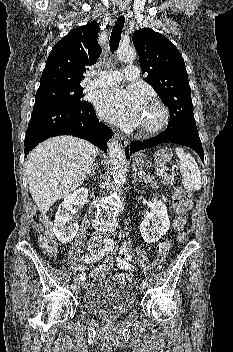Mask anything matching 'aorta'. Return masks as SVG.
Returning a JSON list of instances; mask_svg holds the SVG:
<instances>
[{
    "instance_id": "1",
    "label": "aorta",
    "mask_w": 233,
    "mask_h": 352,
    "mask_svg": "<svg viewBox=\"0 0 233 352\" xmlns=\"http://www.w3.org/2000/svg\"><path fill=\"white\" fill-rule=\"evenodd\" d=\"M118 57L121 61H133L136 58V51L133 48L122 47L118 50ZM107 146L113 180L117 185H121L127 174L125 155L117 141L112 139Z\"/></svg>"
}]
</instances>
